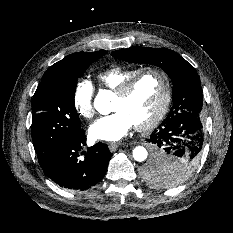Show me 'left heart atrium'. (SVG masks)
Wrapping results in <instances>:
<instances>
[{
	"label": "left heart atrium",
	"mask_w": 233,
	"mask_h": 233,
	"mask_svg": "<svg viewBox=\"0 0 233 233\" xmlns=\"http://www.w3.org/2000/svg\"><path fill=\"white\" fill-rule=\"evenodd\" d=\"M134 126L129 115L116 110L113 113L100 117L89 127V135L95 140L118 141L122 139Z\"/></svg>",
	"instance_id": "1"
}]
</instances>
